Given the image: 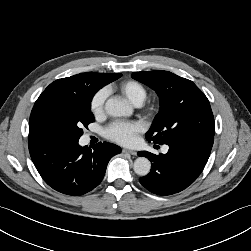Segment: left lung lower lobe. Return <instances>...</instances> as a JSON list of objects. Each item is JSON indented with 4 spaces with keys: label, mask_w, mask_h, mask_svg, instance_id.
<instances>
[{
    "label": "left lung lower lobe",
    "mask_w": 251,
    "mask_h": 251,
    "mask_svg": "<svg viewBox=\"0 0 251 251\" xmlns=\"http://www.w3.org/2000/svg\"><path fill=\"white\" fill-rule=\"evenodd\" d=\"M214 137L198 136L168 143L166 154L138 152L152 162L148 175L139 179L142 186L157 195H171L186 189L203 171Z\"/></svg>",
    "instance_id": "obj_1"
}]
</instances>
